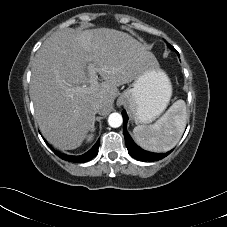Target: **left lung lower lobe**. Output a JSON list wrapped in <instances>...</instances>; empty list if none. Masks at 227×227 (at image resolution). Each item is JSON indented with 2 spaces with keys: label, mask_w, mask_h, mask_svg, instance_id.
Segmentation results:
<instances>
[{
  "label": "left lung lower lobe",
  "mask_w": 227,
  "mask_h": 227,
  "mask_svg": "<svg viewBox=\"0 0 227 227\" xmlns=\"http://www.w3.org/2000/svg\"><path fill=\"white\" fill-rule=\"evenodd\" d=\"M122 116H123V132H124L126 147L128 149L129 154L133 158H135L139 161H157V160H160V159L166 157L167 155H169L172 152V150H171L164 154H158V153H152V152H148V151L141 149L139 146H137L134 143V141L132 140V138L130 137V135L128 134V132L126 130V124L128 121V117H127L125 110L122 111Z\"/></svg>",
  "instance_id": "left-lung-lower-lobe-1"
}]
</instances>
